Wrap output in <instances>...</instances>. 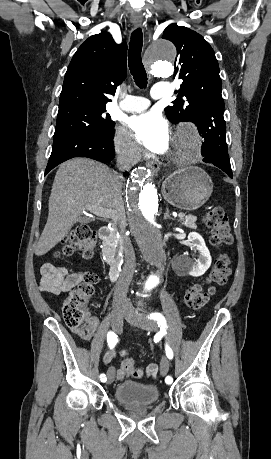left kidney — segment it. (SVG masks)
I'll use <instances>...</instances> for the list:
<instances>
[{
	"mask_svg": "<svg viewBox=\"0 0 271 459\" xmlns=\"http://www.w3.org/2000/svg\"><path fill=\"white\" fill-rule=\"evenodd\" d=\"M189 241H192L193 245H195L196 249L199 251V257L198 259H183V267H185V271L189 273V275H195V277H198V275H203L205 273L206 269H208L209 265H211V255L208 247H206V243L200 235V233H197V231H190L188 235Z\"/></svg>",
	"mask_w": 271,
	"mask_h": 459,
	"instance_id": "1",
	"label": "left kidney"
}]
</instances>
